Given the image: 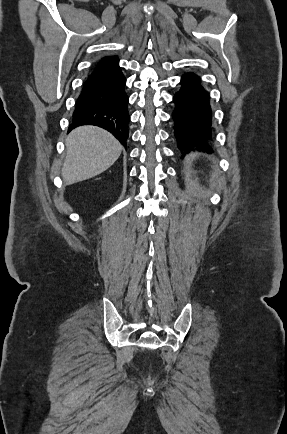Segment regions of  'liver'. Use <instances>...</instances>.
<instances>
[{
	"instance_id": "6515ba94",
	"label": "liver",
	"mask_w": 287,
	"mask_h": 434,
	"mask_svg": "<svg viewBox=\"0 0 287 434\" xmlns=\"http://www.w3.org/2000/svg\"><path fill=\"white\" fill-rule=\"evenodd\" d=\"M61 175L66 185L95 177L119 158L122 145L109 132L95 126L74 129L67 137Z\"/></svg>"
}]
</instances>
